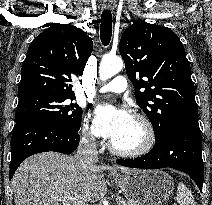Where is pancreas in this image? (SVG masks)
<instances>
[{"label": "pancreas", "mask_w": 212, "mask_h": 205, "mask_svg": "<svg viewBox=\"0 0 212 205\" xmlns=\"http://www.w3.org/2000/svg\"><path fill=\"white\" fill-rule=\"evenodd\" d=\"M116 202H117V205H133L132 203H130L120 197L116 198Z\"/></svg>", "instance_id": "pancreas-1"}]
</instances>
